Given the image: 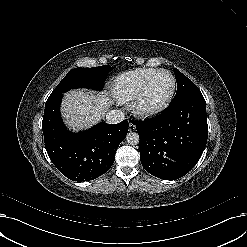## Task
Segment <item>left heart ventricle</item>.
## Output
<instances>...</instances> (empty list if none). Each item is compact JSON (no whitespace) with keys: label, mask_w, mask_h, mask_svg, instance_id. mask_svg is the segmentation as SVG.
<instances>
[{"label":"left heart ventricle","mask_w":247,"mask_h":247,"mask_svg":"<svg viewBox=\"0 0 247 247\" xmlns=\"http://www.w3.org/2000/svg\"><path fill=\"white\" fill-rule=\"evenodd\" d=\"M172 88V81L169 75L161 73L157 75L148 87L144 97L146 104H156L163 101Z\"/></svg>","instance_id":"1"}]
</instances>
